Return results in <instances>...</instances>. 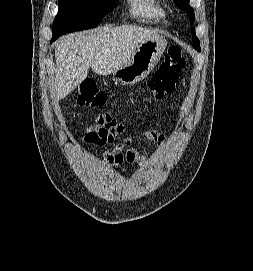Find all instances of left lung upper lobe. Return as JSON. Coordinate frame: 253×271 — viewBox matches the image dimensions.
Here are the masks:
<instances>
[{
  "mask_svg": "<svg viewBox=\"0 0 253 271\" xmlns=\"http://www.w3.org/2000/svg\"><path fill=\"white\" fill-rule=\"evenodd\" d=\"M189 1L190 0H175V3L179 9H182L189 15V21L191 24H193L195 18L194 10L189 5ZM192 36H193V48H195L197 51H200L199 39L196 37L195 28H193Z\"/></svg>",
  "mask_w": 253,
  "mask_h": 271,
  "instance_id": "1",
  "label": "left lung upper lobe"
}]
</instances>
